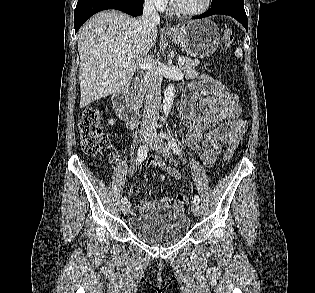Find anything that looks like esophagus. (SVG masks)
<instances>
[{
    "label": "esophagus",
    "instance_id": "34e87169",
    "mask_svg": "<svg viewBox=\"0 0 315 293\" xmlns=\"http://www.w3.org/2000/svg\"><path fill=\"white\" fill-rule=\"evenodd\" d=\"M163 31H164L165 33H170V32H173V31H174V28H173V26L171 25L170 22H166L165 25H164V27H163Z\"/></svg>",
    "mask_w": 315,
    "mask_h": 293
}]
</instances>
